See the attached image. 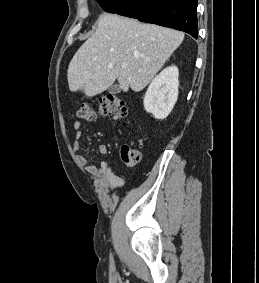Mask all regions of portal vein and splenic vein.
I'll return each mask as SVG.
<instances>
[{
  "mask_svg": "<svg viewBox=\"0 0 259 283\" xmlns=\"http://www.w3.org/2000/svg\"><path fill=\"white\" fill-rule=\"evenodd\" d=\"M121 67H122V68H126V67H127V64L123 63V64L121 65Z\"/></svg>",
  "mask_w": 259,
  "mask_h": 283,
  "instance_id": "portal-vein-and-splenic-vein-1",
  "label": "portal vein and splenic vein"
}]
</instances>
